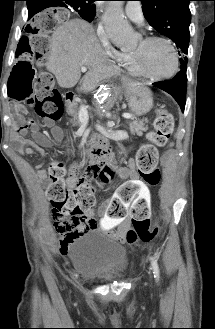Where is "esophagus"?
Segmentation results:
<instances>
[{"label":"esophagus","mask_w":215,"mask_h":329,"mask_svg":"<svg viewBox=\"0 0 215 329\" xmlns=\"http://www.w3.org/2000/svg\"><path fill=\"white\" fill-rule=\"evenodd\" d=\"M122 79L125 80V81L129 80L128 77H126V76H124Z\"/></svg>","instance_id":"obj_1"}]
</instances>
